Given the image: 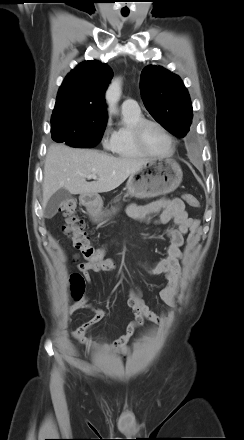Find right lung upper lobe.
I'll return each mask as SVG.
<instances>
[{"instance_id": "right-lung-upper-lobe-1", "label": "right lung upper lobe", "mask_w": 244, "mask_h": 440, "mask_svg": "<svg viewBox=\"0 0 244 440\" xmlns=\"http://www.w3.org/2000/svg\"><path fill=\"white\" fill-rule=\"evenodd\" d=\"M112 77L107 64L92 60L78 65L59 89L51 122H106L104 93Z\"/></svg>"}]
</instances>
